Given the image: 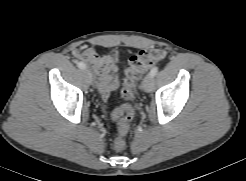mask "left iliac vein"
Here are the masks:
<instances>
[{
    "instance_id": "4c4485c4",
    "label": "left iliac vein",
    "mask_w": 246,
    "mask_h": 181,
    "mask_svg": "<svg viewBox=\"0 0 246 181\" xmlns=\"http://www.w3.org/2000/svg\"><path fill=\"white\" fill-rule=\"evenodd\" d=\"M153 88V76L149 73L145 76L142 81V90L145 92H150Z\"/></svg>"
}]
</instances>
